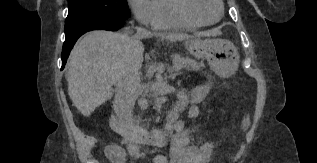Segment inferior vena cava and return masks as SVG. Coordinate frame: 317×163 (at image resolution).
Segmentation results:
<instances>
[{
	"mask_svg": "<svg viewBox=\"0 0 317 163\" xmlns=\"http://www.w3.org/2000/svg\"><path fill=\"white\" fill-rule=\"evenodd\" d=\"M137 35L144 36L147 31L143 28L136 27ZM140 84L139 73L132 68H128L122 75L120 80L116 83L115 98L113 106L116 114L120 119H124L129 123L132 118V112L138 95Z\"/></svg>",
	"mask_w": 317,
	"mask_h": 163,
	"instance_id": "obj_1",
	"label": "inferior vena cava"
}]
</instances>
